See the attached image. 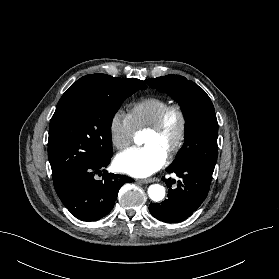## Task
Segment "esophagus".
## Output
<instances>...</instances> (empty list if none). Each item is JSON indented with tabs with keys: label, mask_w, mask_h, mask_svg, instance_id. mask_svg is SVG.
<instances>
[{
	"label": "esophagus",
	"mask_w": 279,
	"mask_h": 279,
	"mask_svg": "<svg viewBox=\"0 0 279 279\" xmlns=\"http://www.w3.org/2000/svg\"><path fill=\"white\" fill-rule=\"evenodd\" d=\"M154 181H156L155 178H147V179H138L137 180V182L144 183V184L151 183V182H154Z\"/></svg>",
	"instance_id": "1"
}]
</instances>
